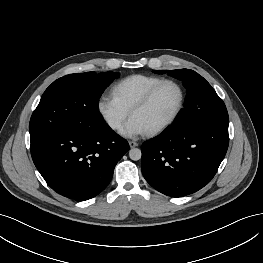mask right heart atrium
<instances>
[{
    "instance_id": "1",
    "label": "right heart atrium",
    "mask_w": 263,
    "mask_h": 263,
    "mask_svg": "<svg viewBox=\"0 0 263 263\" xmlns=\"http://www.w3.org/2000/svg\"><path fill=\"white\" fill-rule=\"evenodd\" d=\"M97 109L105 124L113 131L118 130L129 115V111L112 95H102L98 100Z\"/></svg>"
}]
</instances>
